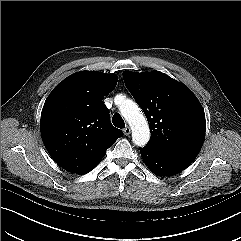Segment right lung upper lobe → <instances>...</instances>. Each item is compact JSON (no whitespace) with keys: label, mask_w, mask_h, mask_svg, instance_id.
I'll return each mask as SVG.
<instances>
[{"label":"right lung upper lobe","mask_w":241,"mask_h":241,"mask_svg":"<svg viewBox=\"0 0 241 241\" xmlns=\"http://www.w3.org/2000/svg\"><path fill=\"white\" fill-rule=\"evenodd\" d=\"M116 84V75L81 71L64 79L47 97L41 135L51 157L65 170L82 174L95 167L123 135L111 124L102 102Z\"/></svg>","instance_id":"1"}]
</instances>
